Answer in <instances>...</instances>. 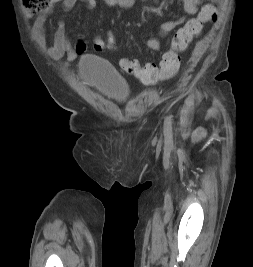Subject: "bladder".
<instances>
[{
    "label": "bladder",
    "mask_w": 253,
    "mask_h": 267,
    "mask_svg": "<svg viewBox=\"0 0 253 267\" xmlns=\"http://www.w3.org/2000/svg\"><path fill=\"white\" fill-rule=\"evenodd\" d=\"M80 78L100 92L118 99L129 95L125 80L105 60L96 55H86L79 63Z\"/></svg>",
    "instance_id": "bladder-1"
}]
</instances>
